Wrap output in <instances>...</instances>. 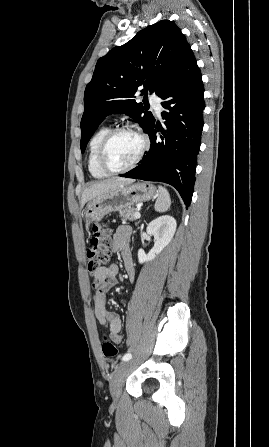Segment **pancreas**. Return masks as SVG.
<instances>
[{
  "mask_svg": "<svg viewBox=\"0 0 269 447\" xmlns=\"http://www.w3.org/2000/svg\"><path fill=\"white\" fill-rule=\"evenodd\" d=\"M119 214L122 220H136L134 216L135 208H126V210H120Z\"/></svg>",
  "mask_w": 269,
  "mask_h": 447,
  "instance_id": "pancreas-1",
  "label": "pancreas"
}]
</instances>
